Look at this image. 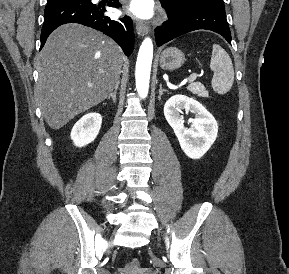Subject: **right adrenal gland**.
I'll list each match as a JSON object with an SVG mask.
<instances>
[{
    "mask_svg": "<svg viewBox=\"0 0 289 274\" xmlns=\"http://www.w3.org/2000/svg\"><path fill=\"white\" fill-rule=\"evenodd\" d=\"M118 86H119V82L118 84L116 85L114 91L108 96L107 99H112L113 103H116V94H117V89H118Z\"/></svg>",
    "mask_w": 289,
    "mask_h": 274,
    "instance_id": "right-adrenal-gland-1",
    "label": "right adrenal gland"
}]
</instances>
